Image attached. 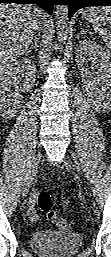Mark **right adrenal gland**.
<instances>
[{
	"mask_svg": "<svg viewBox=\"0 0 111 257\" xmlns=\"http://www.w3.org/2000/svg\"><path fill=\"white\" fill-rule=\"evenodd\" d=\"M32 50L37 51L38 50V39L35 37L34 39V44H32V46L27 49V51L25 52V55H28Z\"/></svg>",
	"mask_w": 111,
	"mask_h": 257,
	"instance_id": "2a0ac1e0",
	"label": "right adrenal gland"
}]
</instances>
